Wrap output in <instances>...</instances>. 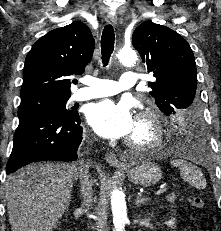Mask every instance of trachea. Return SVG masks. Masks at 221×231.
Masks as SVG:
<instances>
[{"instance_id":"1","label":"trachea","mask_w":221,"mask_h":231,"mask_svg":"<svg viewBox=\"0 0 221 231\" xmlns=\"http://www.w3.org/2000/svg\"><path fill=\"white\" fill-rule=\"evenodd\" d=\"M115 34L112 25L108 24L104 27L101 37V54L102 63L106 66L109 62L111 54L114 50Z\"/></svg>"}]
</instances>
